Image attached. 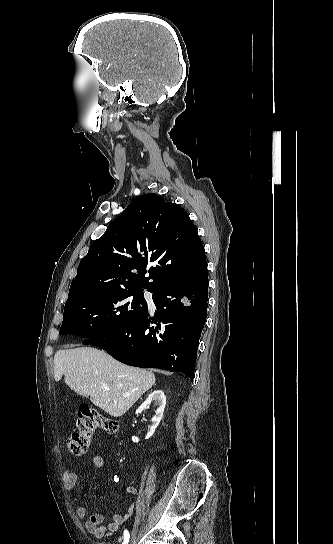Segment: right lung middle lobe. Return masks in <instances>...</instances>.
Here are the masks:
<instances>
[{
  "label": "right lung middle lobe",
  "mask_w": 333,
  "mask_h": 544,
  "mask_svg": "<svg viewBox=\"0 0 333 544\" xmlns=\"http://www.w3.org/2000/svg\"><path fill=\"white\" fill-rule=\"evenodd\" d=\"M147 310L143 290H115L76 298L65 304L59 333L90 339L131 325Z\"/></svg>",
  "instance_id": "obj_1"
}]
</instances>
